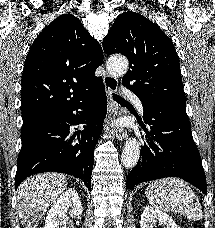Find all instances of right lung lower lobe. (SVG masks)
I'll use <instances>...</instances> for the list:
<instances>
[{
    "instance_id": "obj_1",
    "label": "right lung lower lobe",
    "mask_w": 215,
    "mask_h": 228,
    "mask_svg": "<svg viewBox=\"0 0 215 228\" xmlns=\"http://www.w3.org/2000/svg\"><path fill=\"white\" fill-rule=\"evenodd\" d=\"M80 110V111H78ZM77 111L78 114H74ZM107 112V97L101 77L61 111L22 131L15 189L27 177L43 172L73 175L91 188L94 149ZM83 124L84 130L69 136L71 125Z\"/></svg>"
}]
</instances>
